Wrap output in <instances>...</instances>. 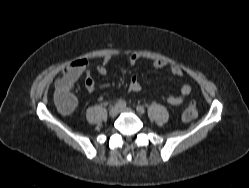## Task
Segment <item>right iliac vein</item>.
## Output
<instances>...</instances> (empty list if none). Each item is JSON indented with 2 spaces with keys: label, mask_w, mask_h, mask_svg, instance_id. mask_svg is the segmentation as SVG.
<instances>
[{
  "label": "right iliac vein",
  "mask_w": 249,
  "mask_h": 188,
  "mask_svg": "<svg viewBox=\"0 0 249 188\" xmlns=\"http://www.w3.org/2000/svg\"><path fill=\"white\" fill-rule=\"evenodd\" d=\"M118 113H119V109H118V107H112L110 110H109V116L111 117V118H115L117 115H118Z\"/></svg>",
  "instance_id": "63e3f726"
}]
</instances>
